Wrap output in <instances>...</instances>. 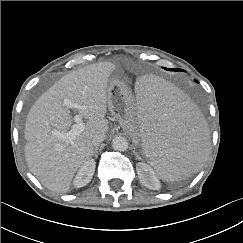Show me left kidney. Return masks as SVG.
<instances>
[{"mask_svg":"<svg viewBox=\"0 0 243 243\" xmlns=\"http://www.w3.org/2000/svg\"><path fill=\"white\" fill-rule=\"evenodd\" d=\"M136 169L138 177L144 186L152 190H158L160 188V182L150 166L139 162Z\"/></svg>","mask_w":243,"mask_h":243,"instance_id":"obj_1","label":"left kidney"}]
</instances>
